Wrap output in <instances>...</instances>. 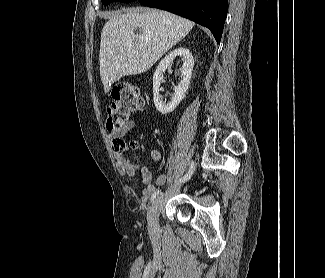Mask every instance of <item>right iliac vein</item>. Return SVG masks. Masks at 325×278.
Instances as JSON below:
<instances>
[{
	"mask_svg": "<svg viewBox=\"0 0 325 278\" xmlns=\"http://www.w3.org/2000/svg\"><path fill=\"white\" fill-rule=\"evenodd\" d=\"M163 204V196L155 199L147 213L148 230L155 235L159 230L158 217Z\"/></svg>",
	"mask_w": 325,
	"mask_h": 278,
	"instance_id": "1",
	"label": "right iliac vein"
}]
</instances>
